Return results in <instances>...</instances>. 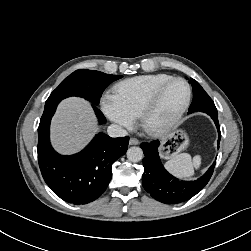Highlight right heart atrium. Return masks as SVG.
Returning a JSON list of instances; mask_svg holds the SVG:
<instances>
[{
    "label": "right heart atrium",
    "mask_w": 251,
    "mask_h": 251,
    "mask_svg": "<svg viewBox=\"0 0 251 251\" xmlns=\"http://www.w3.org/2000/svg\"><path fill=\"white\" fill-rule=\"evenodd\" d=\"M101 108L105 116L120 127L126 130L133 128L135 117L120 104L114 94L106 93L102 96Z\"/></svg>",
    "instance_id": "1"
}]
</instances>
